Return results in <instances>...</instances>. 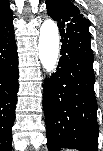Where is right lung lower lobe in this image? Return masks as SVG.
<instances>
[{
	"instance_id": "98d812e1",
	"label": "right lung lower lobe",
	"mask_w": 103,
	"mask_h": 151,
	"mask_svg": "<svg viewBox=\"0 0 103 151\" xmlns=\"http://www.w3.org/2000/svg\"><path fill=\"white\" fill-rule=\"evenodd\" d=\"M18 55L14 28L0 32V143L1 150H11L12 126L18 92Z\"/></svg>"
}]
</instances>
